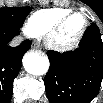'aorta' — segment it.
Returning a JSON list of instances; mask_svg holds the SVG:
<instances>
[{"label": "aorta", "mask_w": 103, "mask_h": 103, "mask_svg": "<svg viewBox=\"0 0 103 103\" xmlns=\"http://www.w3.org/2000/svg\"><path fill=\"white\" fill-rule=\"evenodd\" d=\"M25 70L32 75H43L49 69V59L38 53H27L23 57Z\"/></svg>", "instance_id": "aorta-1"}]
</instances>
